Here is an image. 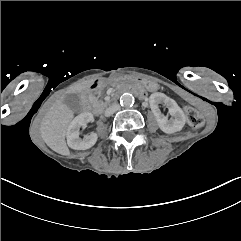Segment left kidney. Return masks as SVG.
<instances>
[{"label": "left kidney", "instance_id": "1", "mask_svg": "<svg viewBox=\"0 0 241 241\" xmlns=\"http://www.w3.org/2000/svg\"><path fill=\"white\" fill-rule=\"evenodd\" d=\"M164 103L169 114L173 116L174 119L167 120V117L163 116L158 108V104ZM149 105L151 111L156 119L159 129L165 134H175L183 130L185 126V113L177 105V103L166 96L163 93H153L149 98Z\"/></svg>", "mask_w": 241, "mask_h": 241}]
</instances>
